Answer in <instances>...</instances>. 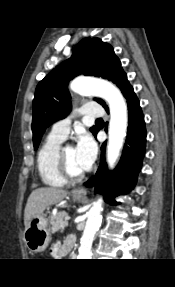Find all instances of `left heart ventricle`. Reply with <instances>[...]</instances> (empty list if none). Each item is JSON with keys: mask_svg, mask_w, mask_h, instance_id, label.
Returning a JSON list of instances; mask_svg holds the SVG:
<instances>
[{"mask_svg": "<svg viewBox=\"0 0 175 287\" xmlns=\"http://www.w3.org/2000/svg\"><path fill=\"white\" fill-rule=\"evenodd\" d=\"M64 154H65L67 165L71 172L81 173L84 171L78 162L75 149L73 147L66 146L64 150Z\"/></svg>", "mask_w": 175, "mask_h": 287, "instance_id": "b2bd125f", "label": "left heart ventricle"}]
</instances>
